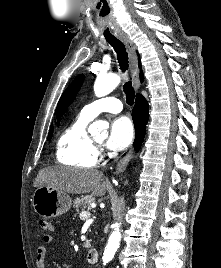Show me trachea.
<instances>
[{
    "mask_svg": "<svg viewBox=\"0 0 221 268\" xmlns=\"http://www.w3.org/2000/svg\"><path fill=\"white\" fill-rule=\"evenodd\" d=\"M107 42L114 48L119 66L122 72H125L128 69V53L124 44L117 38L107 39ZM123 90L126 95V102L128 105H133L135 98V91L132 87L131 81L125 82L123 85Z\"/></svg>",
    "mask_w": 221,
    "mask_h": 268,
    "instance_id": "trachea-1",
    "label": "trachea"
}]
</instances>
